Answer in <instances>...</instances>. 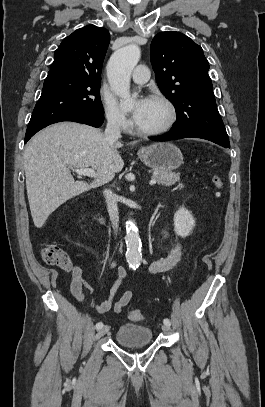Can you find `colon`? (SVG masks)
Returning a JSON list of instances; mask_svg holds the SVG:
<instances>
[{"label":"colon","mask_w":265,"mask_h":407,"mask_svg":"<svg viewBox=\"0 0 265 407\" xmlns=\"http://www.w3.org/2000/svg\"><path fill=\"white\" fill-rule=\"evenodd\" d=\"M211 180L216 188V196L220 197L223 188L221 177L217 174H213ZM41 258L46 264L58 267L63 270H68L72 266V262L68 254L56 245L46 244L45 246H43L41 249ZM128 318L131 321L145 320V316L138 309H131L128 312Z\"/></svg>","instance_id":"obj_1"}]
</instances>
